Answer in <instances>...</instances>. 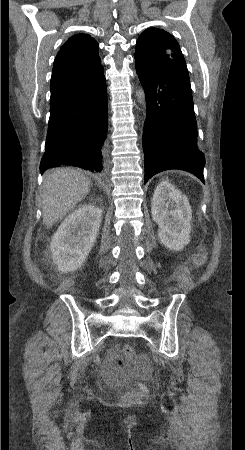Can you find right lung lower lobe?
<instances>
[{"label":"right lung lower lobe","instance_id":"obj_1","mask_svg":"<svg viewBox=\"0 0 245 450\" xmlns=\"http://www.w3.org/2000/svg\"><path fill=\"white\" fill-rule=\"evenodd\" d=\"M108 106L103 67L50 101L46 151L40 172L76 166L103 176L107 168Z\"/></svg>","mask_w":245,"mask_h":450}]
</instances>
